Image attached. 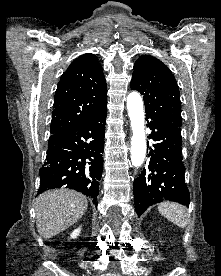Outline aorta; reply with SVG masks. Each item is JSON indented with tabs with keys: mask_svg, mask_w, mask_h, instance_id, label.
I'll use <instances>...</instances> for the list:
<instances>
[{
	"mask_svg": "<svg viewBox=\"0 0 221 276\" xmlns=\"http://www.w3.org/2000/svg\"><path fill=\"white\" fill-rule=\"evenodd\" d=\"M127 109L131 122V162L134 167H140L146 155V138L144 126L143 101L138 92L127 96Z\"/></svg>",
	"mask_w": 221,
	"mask_h": 276,
	"instance_id": "aorta-1",
	"label": "aorta"
}]
</instances>
